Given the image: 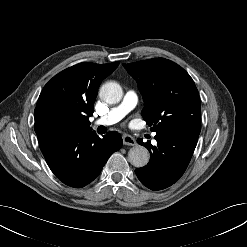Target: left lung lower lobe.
<instances>
[{"mask_svg":"<svg viewBox=\"0 0 247 247\" xmlns=\"http://www.w3.org/2000/svg\"><path fill=\"white\" fill-rule=\"evenodd\" d=\"M198 137L180 126H173L156 134V146L138 139L137 142L146 146L151 155L147 166L135 170L141 183L154 191L174 184L185 172Z\"/></svg>","mask_w":247,"mask_h":247,"instance_id":"obj_1","label":"left lung lower lobe"}]
</instances>
